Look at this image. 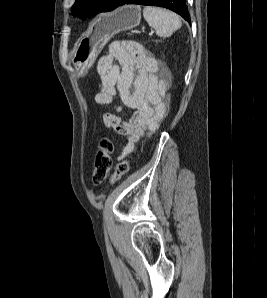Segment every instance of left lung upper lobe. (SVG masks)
<instances>
[{"label": "left lung upper lobe", "instance_id": "obj_1", "mask_svg": "<svg viewBox=\"0 0 267 298\" xmlns=\"http://www.w3.org/2000/svg\"><path fill=\"white\" fill-rule=\"evenodd\" d=\"M118 0H76L71 8L74 16L81 19L94 16L100 12L111 11Z\"/></svg>", "mask_w": 267, "mask_h": 298}]
</instances>
